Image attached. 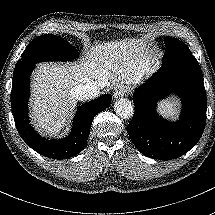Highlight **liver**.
Wrapping results in <instances>:
<instances>
[{"label": "liver", "mask_w": 215, "mask_h": 215, "mask_svg": "<svg viewBox=\"0 0 215 215\" xmlns=\"http://www.w3.org/2000/svg\"><path fill=\"white\" fill-rule=\"evenodd\" d=\"M137 42L118 41L97 47L79 66L40 64L33 77L32 115L39 130L58 132L76 106L74 90L93 79L132 82L145 75L147 54ZM114 74V77H110ZM111 82H110V80Z\"/></svg>", "instance_id": "liver-1"}]
</instances>
